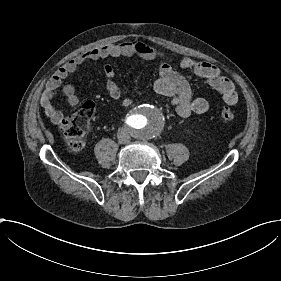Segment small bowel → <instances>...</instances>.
I'll return each instance as SVG.
<instances>
[{
	"instance_id": "obj_1",
	"label": "small bowel",
	"mask_w": 281,
	"mask_h": 281,
	"mask_svg": "<svg viewBox=\"0 0 281 281\" xmlns=\"http://www.w3.org/2000/svg\"><path fill=\"white\" fill-rule=\"evenodd\" d=\"M117 57H139L148 61L161 60L158 68V77L153 84L154 90L171 98L172 104L181 118L187 119L193 113L200 114L208 110L209 105L206 99L192 96L188 80L173 68L169 56L143 42L125 41L116 44H106L84 51L77 58L70 60L46 84L41 106L55 126H61L66 120L64 112L56 108L52 102L61 82L85 63L103 58ZM181 67L183 70L207 80L214 88L220 91L226 105L234 106L237 104L238 95L235 85L231 80L223 76L221 70L214 64L185 58L181 61ZM102 74L105 78V89L108 95L113 100H121L123 93L115 81L116 72L114 67L106 64L103 67ZM63 94L66 96L69 105L76 106L79 103L76 89L72 84H66L63 87ZM130 103L131 100L129 98L121 100L123 106H128Z\"/></svg>"
}]
</instances>
